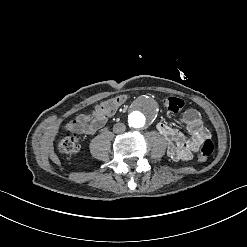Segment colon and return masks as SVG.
<instances>
[{"mask_svg":"<svg viewBox=\"0 0 247 247\" xmlns=\"http://www.w3.org/2000/svg\"><path fill=\"white\" fill-rule=\"evenodd\" d=\"M126 97L123 93L117 96H105L104 100L99 101V114L97 120L99 122H106L108 116L115 115L116 105H125ZM184 100L173 97H166L163 100V107L171 112H178L185 107ZM79 144L78 136L75 132H67L61 138L59 143V152L65 157H73L78 153ZM214 151V144L212 139L208 142H202L199 150V161L205 162Z\"/></svg>","mask_w":247,"mask_h":247,"instance_id":"5ec220e1","label":"colon"}]
</instances>
